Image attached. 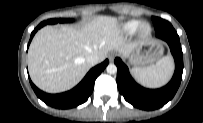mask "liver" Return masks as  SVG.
Here are the masks:
<instances>
[{
	"label": "liver",
	"instance_id": "1",
	"mask_svg": "<svg viewBox=\"0 0 203 123\" xmlns=\"http://www.w3.org/2000/svg\"><path fill=\"white\" fill-rule=\"evenodd\" d=\"M139 44L124 36L118 19L98 16L79 27L45 26L34 36L28 51L33 83L48 93H60L77 85L91 68L87 57L102 62L110 51L127 57Z\"/></svg>",
	"mask_w": 203,
	"mask_h": 123
}]
</instances>
